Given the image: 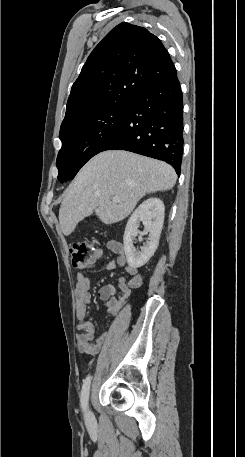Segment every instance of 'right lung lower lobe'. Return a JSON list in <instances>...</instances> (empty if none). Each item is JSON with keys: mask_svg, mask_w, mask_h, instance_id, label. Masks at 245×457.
I'll return each instance as SVG.
<instances>
[{"mask_svg": "<svg viewBox=\"0 0 245 457\" xmlns=\"http://www.w3.org/2000/svg\"><path fill=\"white\" fill-rule=\"evenodd\" d=\"M121 149L171 164L181 172L183 98L177 72L145 86L102 151Z\"/></svg>", "mask_w": 245, "mask_h": 457, "instance_id": "98d812e1", "label": "right lung lower lobe"}]
</instances>
